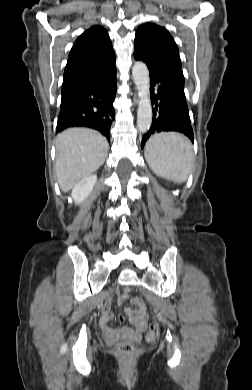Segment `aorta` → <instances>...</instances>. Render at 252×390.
Here are the masks:
<instances>
[{"label":"aorta","mask_w":252,"mask_h":390,"mask_svg":"<svg viewBox=\"0 0 252 390\" xmlns=\"http://www.w3.org/2000/svg\"><path fill=\"white\" fill-rule=\"evenodd\" d=\"M132 76L138 90L139 105L137 111L138 129L145 133L152 123V108L150 100L149 71L142 62L134 63Z\"/></svg>","instance_id":"aorta-1"}]
</instances>
